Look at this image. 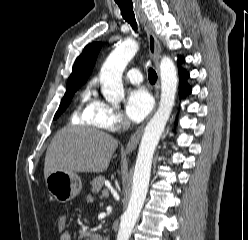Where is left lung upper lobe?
Listing matches in <instances>:
<instances>
[{"label": "left lung upper lobe", "mask_w": 248, "mask_h": 240, "mask_svg": "<svg viewBox=\"0 0 248 240\" xmlns=\"http://www.w3.org/2000/svg\"><path fill=\"white\" fill-rule=\"evenodd\" d=\"M181 59H182V57H179L178 61L181 60Z\"/></svg>", "instance_id": "left-lung-upper-lobe-1"}]
</instances>
